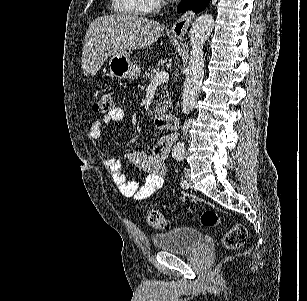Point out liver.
<instances>
[{"mask_svg": "<svg viewBox=\"0 0 307 301\" xmlns=\"http://www.w3.org/2000/svg\"><path fill=\"white\" fill-rule=\"evenodd\" d=\"M164 24L144 16L110 14L94 18L85 34L82 68L85 76H93L106 58L114 52L148 48L164 32Z\"/></svg>", "mask_w": 307, "mask_h": 301, "instance_id": "obj_1", "label": "liver"}]
</instances>
